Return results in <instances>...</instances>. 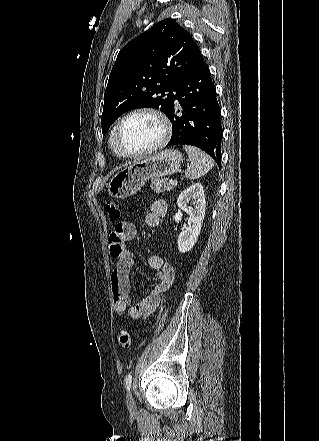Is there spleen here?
I'll list each match as a JSON object with an SVG mask.
<instances>
[{
	"label": "spleen",
	"mask_w": 319,
	"mask_h": 441,
	"mask_svg": "<svg viewBox=\"0 0 319 441\" xmlns=\"http://www.w3.org/2000/svg\"><path fill=\"white\" fill-rule=\"evenodd\" d=\"M183 149L187 151L190 166L185 171V177L187 179H197L205 175L214 166L213 159L200 149L184 145Z\"/></svg>",
	"instance_id": "1"
}]
</instances>
